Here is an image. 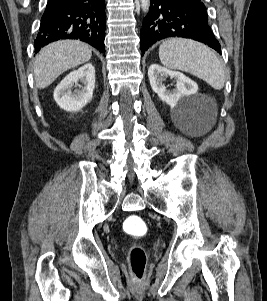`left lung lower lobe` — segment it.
Segmentation results:
<instances>
[{
	"label": "left lung lower lobe",
	"instance_id": "1",
	"mask_svg": "<svg viewBox=\"0 0 267 301\" xmlns=\"http://www.w3.org/2000/svg\"><path fill=\"white\" fill-rule=\"evenodd\" d=\"M148 15L140 32L142 56L156 41L166 37H183L207 44L221 54L220 44L208 23L201 0H150Z\"/></svg>",
	"mask_w": 267,
	"mask_h": 301
}]
</instances>
